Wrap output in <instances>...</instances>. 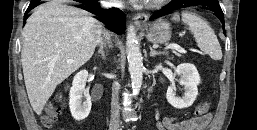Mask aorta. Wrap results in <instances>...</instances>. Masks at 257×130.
I'll use <instances>...</instances> for the list:
<instances>
[{
    "mask_svg": "<svg viewBox=\"0 0 257 130\" xmlns=\"http://www.w3.org/2000/svg\"><path fill=\"white\" fill-rule=\"evenodd\" d=\"M126 46L129 72L131 75V85L133 92L137 93L139 92L142 85L144 67L142 54L138 47L136 31L133 25L128 27Z\"/></svg>",
    "mask_w": 257,
    "mask_h": 130,
    "instance_id": "aorta-1",
    "label": "aorta"
}]
</instances>
